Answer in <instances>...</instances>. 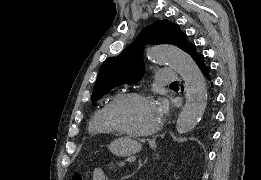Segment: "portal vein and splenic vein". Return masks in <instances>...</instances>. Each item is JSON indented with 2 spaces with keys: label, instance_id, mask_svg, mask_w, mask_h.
Returning <instances> with one entry per match:
<instances>
[{
  "label": "portal vein and splenic vein",
  "instance_id": "1",
  "mask_svg": "<svg viewBox=\"0 0 261 180\" xmlns=\"http://www.w3.org/2000/svg\"><path fill=\"white\" fill-rule=\"evenodd\" d=\"M116 165L119 166V169H122V166H125V161H117Z\"/></svg>",
  "mask_w": 261,
  "mask_h": 180
}]
</instances>
